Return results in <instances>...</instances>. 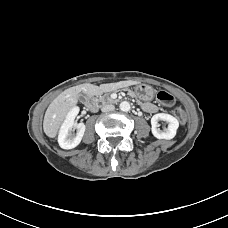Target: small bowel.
<instances>
[{
  "instance_id": "obj_1",
  "label": "small bowel",
  "mask_w": 228,
  "mask_h": 228,
  "mask_svg": "<svg viewBox=\"0 0 228 228\" xmlns=\"http://www.w3.org/2000/svg\"><path fill=\"white\" fill-rule=\"evenodd\" d=\"M143 109L148 113H154L158 110L157 106L150 102L143 104Z\"/></svg>"
}]
</instances>
